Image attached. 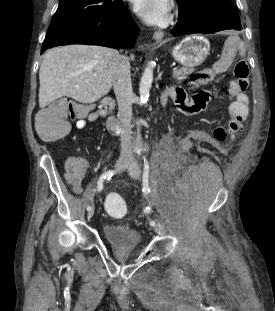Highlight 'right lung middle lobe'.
Returning a JSON list of instances; mask_svg holds the SVG:
<instances>
[{
  "label": "right lung middle lobe",
  "mask_w": 275,
  "mask_h": 311,
  "mask_svg": "<svg viewBox=\"0 0 275 311\" xmlns=\"http://www.w3.org/2000/svg\"><path fill=\"white\" fill-rule=\"evenodd\" d=\"M123 4L119 0H60L50 28L63 22L109 13Z\"/></svg>",
  "instance_id": "obj_1"
}]
</instances>
